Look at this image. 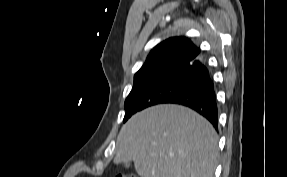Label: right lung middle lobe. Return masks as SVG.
Listing matches in <instances>:
<instances>
[{
  "label": "right lung middle lobe",
  "instance_id": "obj_1",
  "mask_svg": "<svg viewBox=\"0 0 287 177\" xmlns=\"http://www.w3.org/2000/svg\"><path fill=\"white\" fill-rule=\"evenodd\" d=\"M181 65L177 59H167L147 67H142L134 77L133 88L125 101L126 115L124 122L131 116L127 113L129 107L144 93V91L159 77Z\"/></svg>",
  "mask_w": 287,
  "mask_h": 177
}]
</instances>
